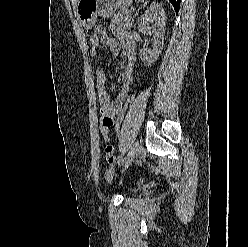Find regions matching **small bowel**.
I'll return each instance as SVG.
<instances>
[{
    "label": "small bowel",
    "mask_w": 248,
    "mask_h": 247,
    "mask_svg": "<svg viewBox=\"0 0 248 247\" xmlns=\"http://www.w3.org/2000/svg\"><path fill=\"white\" fill-rule=\"evenodd\" d=\"M117 35L119 40L108 36L97 38L94 35L90 38V55L94 61H99L98 49L101 45H104L115 56L118 55L123 48L127 58L126 65L120 76V90L114 99L111 98L106 90L107 76L105 71L102 68H98L95 71L96 93L101 116L100 131L105 140V158L109 166H113L116 161L115 147L109 137L110 127L113 126L117 114L129 94L130 87L134 80V64L136 61L135 43L132 36L124 31H117Z\"/></svg>",
    "instance_id": "c3829d8e"
}]
</instances>
